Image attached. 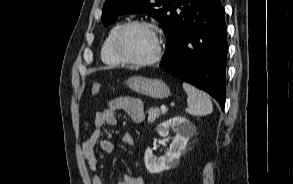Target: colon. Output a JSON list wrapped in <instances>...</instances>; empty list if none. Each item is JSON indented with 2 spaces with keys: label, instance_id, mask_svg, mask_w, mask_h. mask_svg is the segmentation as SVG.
<instances>
[{
  "label": "colon",
  "instance_id": "colon-1",
  "mask_svg": "<svg viewBox=\"0 0 293 184\" xmlns=\"http://www.w3.org/2000/svg\"><path fill=\"white\" fill-rule=\"evenodd\" d=\"M101 88H102V86L100 83H94L91 88V95L93 97H96L100 93Z\"/></svg>",
  "mask_w": 293,
  "mask_h": 184
}]
</instances>
